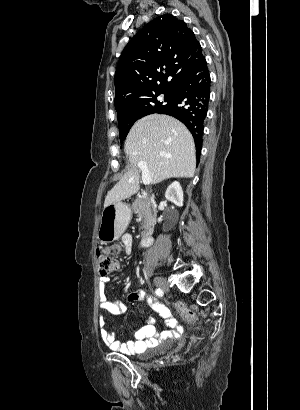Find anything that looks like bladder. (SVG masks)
<instances>
[{"mask_svg":"<svg viewBox=\"0 0 300 410\" xmlns=\"http://www.w3.org/2000/svg\"><path fill=\"white\" fill-rule=\"evenodd\" d=\"M171 342H172V341H167V342H165L163 345L160 346V348L158 349V351H162V350L167 349V348L169 347V345H170ZM150 355H151V351H146V352H144V353L141 355V358H146V357H148V356H150Z\"/></svg>","mask_w":300,"mask_h":410,"instance_id":"31cf9c89","label":"bladder"}]
</instances>
